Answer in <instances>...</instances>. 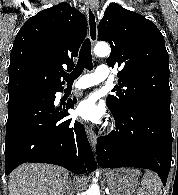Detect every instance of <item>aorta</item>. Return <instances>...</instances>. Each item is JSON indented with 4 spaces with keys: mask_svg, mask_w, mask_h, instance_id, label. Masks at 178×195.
Returning <instances> with one entry per match:
<instances>
[{
    "mask_svg": "<svg viewBox=\"0 0 178 195\" xmlns=\"http://www.w3.org/2000/svg\"><path fill=\"white\" fill-rule=\"evenodd\" d=\"M110 46L105 42H99L94 48V53L98 57H105L110 54ZM88 195H100L99 186L97 184H92L88 191Z\"/></svg>",
    "mask_w": 178,
    "mask_h": 195,
    "instance_id": "aorta-1",
    "label": "aorta"
}]
</instances>
